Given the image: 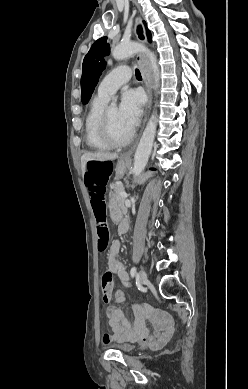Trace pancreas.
<instances>
[{"mask_svg": "<svg viewBox=\"0 0 248 389\" xmlns=\"http://www.w3.org/2000/svg\"><path fill=\"white\" fill-rule=\"evenodd\" d=\"M111 189L113 190V195L117 201L118 206L121 208L123 212L127 211V208L125 207V197L121 196V192L124 191V187L122 184L119 183H112Z\"/></svg>", "mask_w": 248, "mask_h": 389, "instance_id": "obj_1", "label": "pancreas"}]
</instances>
